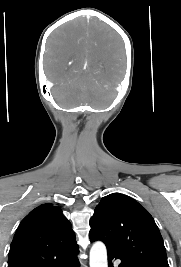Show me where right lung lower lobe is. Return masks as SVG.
<instances>
[{"label":"right lung lower lobe","mask_w":181,"mask_h":267,"mask_svg":"<svg viewBox=\"0 0 181 267\" xmlns=\"http://www.w3.org/2000/svg\"><path fill=\"white\" fill-rule=\"evenodd\" d=\"M78 250L62 257L55 259L52 262L46 264H20L14 267H78L79 261L77 258Z\"/></svg>","instance_id":"1"}]
</instances>
